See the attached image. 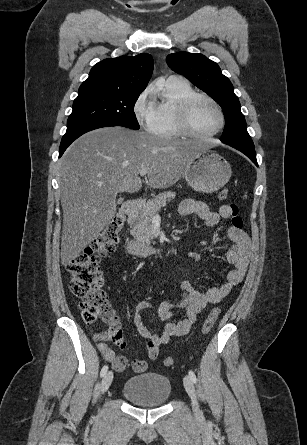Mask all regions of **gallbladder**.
Wrapping results in <instances>:
<instances>
[{"instance_id": "bac80fb5", "label": "gallbladder", "mask_w": 307, "mask_h": 445, "mask_svg": "<svg viewBox=\"0 0 307 445\" xmlns=\"http://www.w3.org/2000/svg\"><path fill=\"white\" fill-rule=\"evenodd\" d=\"M116 203H117L118 205H121V204L123 203V200H122L121 198H118V199L116 200Z\"/></svg>"}]
</instances>
